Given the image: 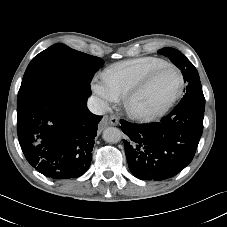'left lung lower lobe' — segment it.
<instances>
[{"label":"left lung lower lobe","instance_id":"left-lung-lower-lobe-1","mask_svg":"<svg viewBox=\"0 0 227 227\" xmlns=\"http://www.w3.org/2000/svg\"><path fill=\"white\" fill-rule=\"evenodd\" d=\"M205 105L178 104L160 122L132 124L121 120L127 135L125 153L132 174L141 180L175 176L193 159L203 132Z\"/></svg>","mask_w":227,"mask_h":227}]
</instances>
